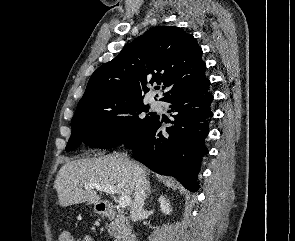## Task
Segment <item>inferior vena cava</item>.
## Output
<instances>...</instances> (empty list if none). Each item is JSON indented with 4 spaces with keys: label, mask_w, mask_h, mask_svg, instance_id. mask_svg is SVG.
Returning <instances> with one entry per match:
<instances>
[{
    "label": "inferior vena cava",
    "mask_w": 295,
    "mask_h": 241,
    "mask_svg": "<svg viewBox=\"0 0 295 241\" xmlns=\"http://www.w3.org/2000/svg\"><path fill=\"white\" fill-rule=\"evenodd\" d=\"M122 156L127 158V154H123ZM132 171L135 189L130 214L132 221L136 222L140 219L143 213V206L146 196V175L145 172L136 165L132 166Z\"/></svg>",
    "instance_id": "inferior-vena-cava-1"
}]
</instances>
